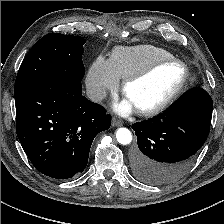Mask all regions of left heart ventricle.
Wrapping results in <instances>:
<instances>
[{"mask_svg":"<svg viewBox=\"0 0 224 224\" xmlns=\"http://www.w3.org/2000/svg\"><path fill=\"white\" fill-rule=\"evenodd\" d=\"M183 77V68L177 63L166 64L148 77L131 84L126 97L136 109L151 108L166 99Z\"/></svg>","mask_w":224,"mask_h":224,"instance_id":"1","label":"left heart ventricle"}]
</instances>
